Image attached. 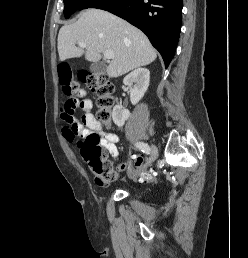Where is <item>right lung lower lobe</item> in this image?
Here are the masks:
<instances>
[{"instance_id": "1", "label": "right lung lower lobe", "mask_w": 248, "mask_h": 258, "mask_svg": "<svg viewBox=\"0 0 248 258\" xmlns=\"http://www.w3.org/2000/svg\"><path fill=\"white\" fill-rule=\"evenodd\" d=\"M182 7L183 0H107L94 8L109 11L142 30L167 68L180 35Z\"/></svg>"}]
</instances>
